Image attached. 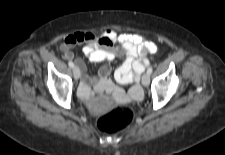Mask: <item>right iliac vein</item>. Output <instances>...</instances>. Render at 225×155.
I'll return each instance as SVG.
<instances>
[{
  "instance_id": "obj_1",
  "label": "right iliac vein",
  "mask_w": 225,
  "mask_h": 155,
  "mask_svg": "<svg viewBox=\"0 0 225 155\" xmlns=\"http://www.w3.org/2000/svg\"><path fill=\"white\" fill-rule=\"evenodd\" d=\"M73 75L76 80L80 78V69L78 67L73 68Z\"/></svg>"
}]
</instances>
